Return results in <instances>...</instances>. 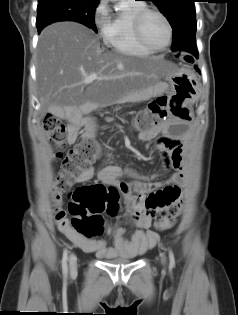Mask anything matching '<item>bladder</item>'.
<instances>
[{
    "label": "bladder",
    "mask_w": 238,
    "mask_h": 315,
    "mask_svg": "<svg viewBox=\"0 0 238 315\" xmlns=\"http://www.w3.org/2000/svg\"><path fill=\"white\" fill-rule=\"evenodd\" d=\"M132 261H133V258H124V259L113 260V261H109V262L117 263V264H126V263H131Z\"/></svg>",
    "instance_id": "1"
}]
</instances>
